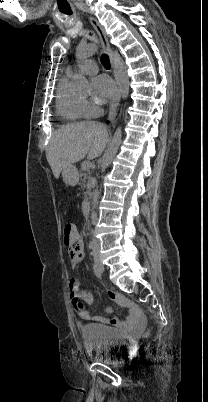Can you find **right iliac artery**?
Wrapping results in <instances>:
<instances>
[{"label": "right iliac artery", "mask_w": 208, "mask_h": 402, "mask_svg": "<svg viewBox=\"0 0 208 402\" xmlns=\"http://www.w3.org/2000/svg\"><path fill=\"white\" fill-rule=\"evenodd\" d=\"M93 270L95 275L100 278L101 277V270L96 263L93 264Z\"/></svg>", "instance_id": "right-iliac-artery-1"}]
</instances>
